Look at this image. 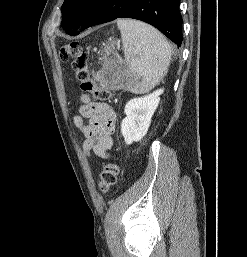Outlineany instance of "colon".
<instances>
[{
  "label": "colon",
  "instance_id": "obj_1",
  "mask_svg": "<svg viewBox=\"0 0 247 257\" xmlns=\"http://www.w3.org/2000/svg\"><path fill=\"white\" fill-rule=\"evenodd\" d=\"M59 57L62 62L72 61V68L83 91L92 93L98 101H105L110 98L109 90L99 86L91 78L87 55L77 42L62 45L59 50ZM118 175L119 166L115 162L107 163L100 174V191L108 192L116 184Z\"/></svg>",
  "mask_w": 247,
  "mask_h": 257
}]
</instances>
